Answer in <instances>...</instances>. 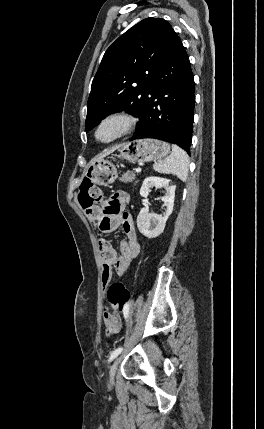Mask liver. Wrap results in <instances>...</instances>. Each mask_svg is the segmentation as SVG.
Returning <instances> with one entry per match:
<instances>
[{"label":"liver","mask_w":264,"mask_h":429,"mask_svg":"<svg viewBox=\"0 0 264 429\" xmlns=\"http://www.w3.org/2000/svg\"><path fill=\"white\" fill-rule=\"evenodd\" d=\"M121 145L119 146H114L108 150H105L103 153H101L100 155L96 156L94 158V160H100L103 159L104 157H106L107 155L111 154L112 152H114L116 149H118Z\"/></svg>","instance_id":"6515ba94"}]
</instances>
